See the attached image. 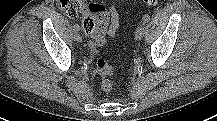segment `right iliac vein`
Listing matches in <instances>:
<instances>
[{"label":"right iliac vein","instance_id":"right-iliac-vein-1","mask_svg":"<svg viewBox=\"0 0 217 121\" xmlns=\"http://www.w3.org/2000/svg\"><path fill=\"white\" fill-rule=\"evenodd\" d=\"M74 39H75V41H77V42H82V37H81L78 33H75V34H74Z\"/></svg>","mask_w":217,"mask_h":121}]
</instances>
